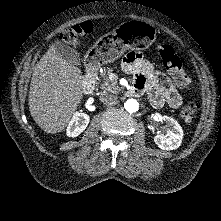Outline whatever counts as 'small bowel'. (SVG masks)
<instances>
[{"mask_svg":"<svg viewBox=\"0 0 221 221\" xmlns=\"http://www.w3.org/2000/svg\"><path fill=\"white\" fill-rule=\"evenodd\" d=\"M122 68L126 73L135 75L133 86L136 88V95L146 92L155 108L165 104L178 108L182 104L179 90L186 89L187 86L180 87L172 82L139 52H128L123 58Z\"/></svg>","mask_w":221,"mask_h":221,"instance_id":"1","label":"small bowel"}]
</instances>
